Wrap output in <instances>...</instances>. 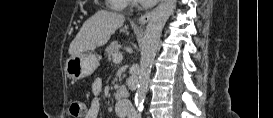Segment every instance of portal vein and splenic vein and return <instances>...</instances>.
I'll return each instance as SVG.
<instances>
[{"label":"portal vein and splenic vein","mask_w":273,"mask_h":118,"mask_svg":"<svg viewBox=\"0 0 273 118\" xmlns=\"http://www.w3.org/2000/svg\"><path fill=\"white\" fill-rule=\"evenodd\" d=\"M122 58H123L122 54L117 52L113 55V62L120 63L122 61Z\"/></svg>","instance_id":"portal-vein-and-splenic-vein-1"}]
</instances>
